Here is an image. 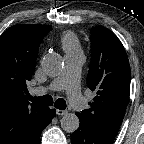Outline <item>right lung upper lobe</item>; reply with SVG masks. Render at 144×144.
Segmentation results:
<instances>
[{
	"mask_svg": "<svg viewBox=\"0 0 144 144\" xmlns=\"http://www.w3.org/2000/svg\"><path fill=\"white\" fill-rule=\"evenodd\" d=\"M49 25H14L0 36V144H21L42 119L47 107L29 105L38 48Z\"/></svg>",
	"mask_w": 144,
	"mask_h": 144,
	"instance_id": "right-lung-upper-lobe-1",
	"label": "right lung upper lobe"
}]
</instances>
